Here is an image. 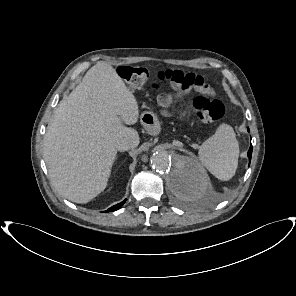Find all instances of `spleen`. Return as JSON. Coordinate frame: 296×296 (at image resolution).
<instances>
[{"label": "spleen", "instance_id": "obj_1", "mask_svg": "<svg viewBox=\"0 0 296 296\" xmlns=\"http://www.w3.org/2000/svg\"><path fill=\"white\" fill-rule=\"evenodd\" d=\"M239 146L233 128L221 124L215 134L205 140L200 146L198 156L201 163L220 180L231 179L238 166ZM189 195L198 194L195 191Z\"/></svg>", "mask_w": 296, "mask_h": 296}]
</instances>
